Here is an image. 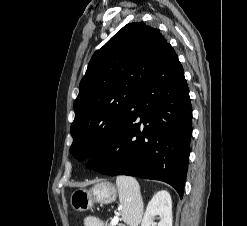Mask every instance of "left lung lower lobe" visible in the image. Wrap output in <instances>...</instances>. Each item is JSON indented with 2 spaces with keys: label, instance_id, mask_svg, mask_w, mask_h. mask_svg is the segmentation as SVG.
<instances>
[{
  "label": "left lung lower lobe",
  "instance_id": "left-lung-lower-lobe-1",
  "mask_svg": "<svg viewBox=\"0 0 247 226\" xmlns=\"http://www.w3.org/2000/svg\"><path fill=\"white\" fill-rule=\"evenodd\" d=\"M192 109L183 68L166 44L116 137L87 164L110 176L160 180L180 197L190 154Z\"/></svg>",
  "mask_w": 247,
  "mask_h": 226
}]
</instances>
